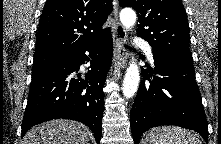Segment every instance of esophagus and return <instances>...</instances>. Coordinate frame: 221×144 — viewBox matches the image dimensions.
<instances>
[{
    "mask_svg": "<svg viewBox=\"0 0 221 144\" xmlns=\"http://www.w3.org/2000/svg\"><path fill=\"white\" fill-rule=\"evenodd\" d=\"M115 26L113 32L114 42V66L117 68H123L127 61V52L124 47V43L127 40V34L124 27L118 22V8L115 7L114 11Z\"/></svg>",
    "mask_w": 221,
    "mask_h": 144,
    "instance_id": "obj_1",
    "label": "esophagus"
}]
</instances>
